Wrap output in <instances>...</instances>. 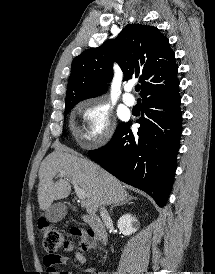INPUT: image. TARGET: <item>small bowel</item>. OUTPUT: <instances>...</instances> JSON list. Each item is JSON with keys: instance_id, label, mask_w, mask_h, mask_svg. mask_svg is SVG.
Listing matches in <instances>:
<instances>
[{"instance_id": "1", "label": "small bowel", "mask_w": 215, "mask_h": 274, "mask_svg": "<svg viewBox=\"0 0 215 274\" xmlns=\"http://www.w3.org/2000/svg\"><path fill=\"white\" fill-rule=\"evenodd\" d=\"M73 259L76 260L78 263L85 265L87 263V259L85 255L79 251L72 252ZM70 257L58 255V254H46L43 258V264L45 266L46 272L49 274H72L68 271H58L57 265L69 264L71 262ZM86 274H106L104 272L97 271L94 266H88L85 268Z\"/></svg>"}]
</instances>
